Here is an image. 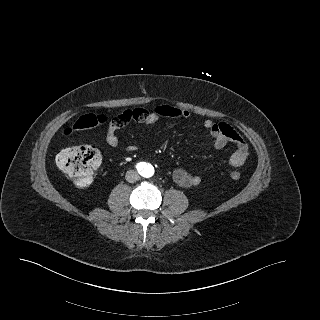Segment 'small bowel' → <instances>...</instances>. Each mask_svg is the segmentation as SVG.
I'll return each mask as SVG.
<instances>
[{
    "label": "small bowel",
    "mask_w": 320,
    "mask_h": 320,
    "mask_svg": "<svg viewBox=\"0 0 320 320\" xmlns=\"http://www.w3.org/2000/svg\"><path fill=\"white\" fill-rule=\"evenodd\" d=\"M190 116L191 113L189 110L166 104L156 106L151 112L144 108L126 110L110 121L106 132V142L112 148H117L119 146L117 131L133 122L146 127L156 123L162 118L188 119ZM203 125L208 129L216 150L223 149L229 142L236 145L234 153L228 160V166L230 168H238L245 163L249 156L247 144L229 124L205 120ZM127 150L129 152H135L137 147L135 145H129ZM172 176L174 182L183 188L195 187L199 185L202 180L199 175L188 172L182 168L175 169Z\"/></svg>",
    "instance_id": "c3829d8e"
}]
</instances>
